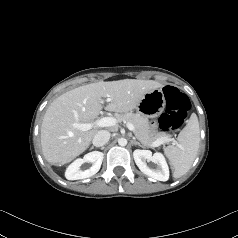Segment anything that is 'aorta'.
Returning a JSON list of instances; mask_svg holds the SVG:
<instances>
[{
    "label": "aorta",
    "instance_id": "762f6f07",
    "mask_svg": "<svg viewBox=\"0 0 238 238\" xmlns=\"http://www.w3.org/2000/svg\"><path fill=\"white\" fill-rule=\"evenodd\" d=\"M118 144H119L120 146H126V145H127V139H125V138H120V139L118 140Z\"/></svg>",
    "mask_w": 238,
    "mask_h": 238
}]
</instances>
